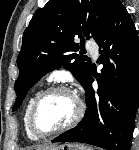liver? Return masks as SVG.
<instances>
[{
    "label": "liver",
    "mask_w": 139,
    "mask_h": 150,
    "mask_svg": "<svg viewBox=\"0 0 139 150\" xmlns=\"http://www.w3.org/2000/svg\"><path fill=\"white\" fill-rule=\"evenodd\" d=\"M46 149H48V148H52V147H45ZM40 149V148H39Z\"/></svg>",
    "instance_id": "obj_1"
}]
</instances>
